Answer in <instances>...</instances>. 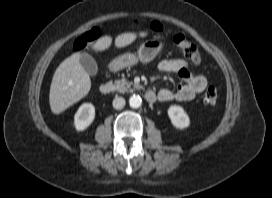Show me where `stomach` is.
Masks as SVG:
<instances>
[{"label":"stomach","instance_id":"1","mask_svg":"<svg viewBox=\"0 0 272 198\" xmlns=\"http://www.w3.org/2000/svg\"><path fill=\"white\" fill-rule=\"evenodd\" d=\"M163 47L162 41L159 39L147 40L141 44L136 53H124L109 64L111 71H119L124 68L136 65L139 61L142 63H149L156 58Z\"/></svg>","mask_w":272,"mask_h":198}]
</instances>
